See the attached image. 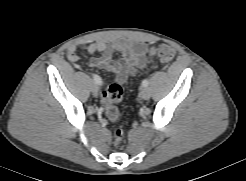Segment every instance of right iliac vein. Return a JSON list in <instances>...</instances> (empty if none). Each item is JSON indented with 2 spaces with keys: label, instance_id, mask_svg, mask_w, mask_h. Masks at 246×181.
<instances>
[{
  "label": "right iliac vein",
  "instance_id": "obj_1",
  "mask_svg": "<svg viewBox=\"0 0 246 181\" xmlns=\"http://www.w3.org/2000/svg\"><path fill=\"white\" fill-rule=\"evenodd\" d=\"M98 86L96 85V84H93L92 85V87H91V91L93 92V94L95 95V96H97L98 95Z\"/></svg>",
  "mask_w": 246,
  "mask_h": 181
}]
</instances>
